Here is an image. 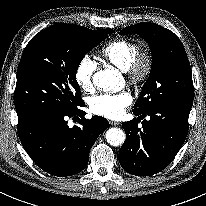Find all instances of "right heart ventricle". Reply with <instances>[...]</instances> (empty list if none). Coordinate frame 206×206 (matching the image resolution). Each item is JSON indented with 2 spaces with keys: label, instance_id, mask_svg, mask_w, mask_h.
<instances>
[{
  "label": "right heart ventricle",
  "instance_id": "obj_1",
  "mask_svg": "<svg viewBox=\"0 0 206 206\" xmlns=\"http://www.w3.org/2000/svg\"><path fill=\"white\" fill-rule=\"evenodd\" d=\"M138 50L137 42L120 38L107 43L101 49L100 55L107 63L125 72Z\"/></svg>",
  "mask_w": 206,
  "mask_h": 206
}]
</instances>
